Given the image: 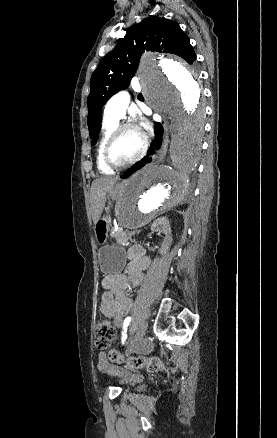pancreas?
Instances as JSON below:
<instances>
[{"mask_svg": "<svg viewBox=\"0 0 277 438\" xmlns=\"http://www.w3.org/2000/svg\"><path fill=\"white\" fill-rule=\"evenodd\" d=\"M115 235L119 243L124 244L127 241L125 228H116Z\"/></svg>", "mask_w": 277, "mask_h": 438, "instance_id": "pancreas-1", "label": "pancreas"}]
</instances>
